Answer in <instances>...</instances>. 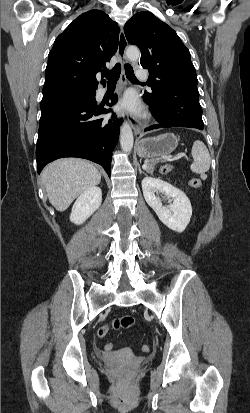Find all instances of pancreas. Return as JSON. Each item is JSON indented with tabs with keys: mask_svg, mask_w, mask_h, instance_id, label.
Returning a JSON list of instances; mask_svg holds the SVG:
<instances>
[{
	"mask_svg": "<svg viewBox=\"0 0 250 413\" xmlns=\"http://www.w3.org/2000/svg\"><path fill=\"white\" fill-rule=\"evenodd\" d=\"M158 162H159L158 159H154V160L149 161L147 171H148L149 173H153L155 164L158 163ZM163 169H166V171L163 172ZM170 170H171V167L167 168V166H165V167H162V168H161L160 172H161L162 174H166V173H168Z\"/></svg>",
	"mask_w": 250,
	"mask_h": 413,
	"instance_id": "pancreas-1",
	"label": "pancreas"
}]
</instances>
